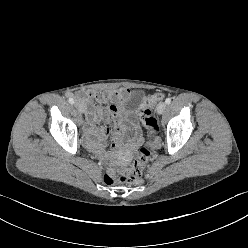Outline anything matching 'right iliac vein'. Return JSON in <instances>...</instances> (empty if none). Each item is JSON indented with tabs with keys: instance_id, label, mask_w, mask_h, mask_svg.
<instances>
[{
	"instance_id": "right-iliac-vein-1",
	"label": "right iliac vein",
	"mask_w": 248,
	"mask_h": 248,
	"mask_svg": "<svg viewBox=\"0 0 248 248\" xmlns=\"http://www.w3.org/2000/svg\"><path fill=\"white\" fill-rule=\"evenodd\" d=\"M74 106L76 107V109H77L79 112L84 113V111H85V106H84V104H83L82 102L76 101V102L74 103Z\"/></svg>"
}]
</instances>
